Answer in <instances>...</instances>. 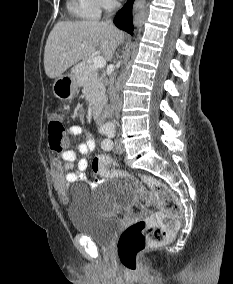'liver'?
Wrapping results in <instances>:
<instances>
[{
    "mask_svg": "<svg viewBox=\"0 0 233 284\" xmlns=\"http://www.w3.org/2000/svg\"><path fill=\"white\" fill-rule=\"evenodd\" d=\"M124 33L113 24L99 21H60L50 32L44 52L46 75L53 79L69 67L87 59L96 48L106 60L112 59Z\"/></svg>",
    "mask_w": 233,
    "mask_h": 284,
    "instance_id": "liver-1",
    "label": "liver"
}]
</instances>
